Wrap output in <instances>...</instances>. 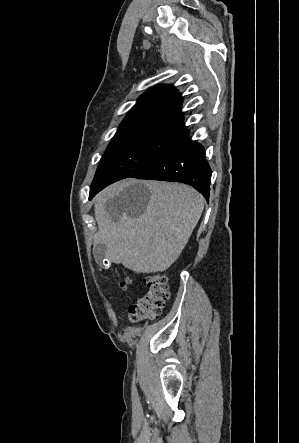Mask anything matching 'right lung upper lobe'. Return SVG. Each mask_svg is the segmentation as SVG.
<instances>
[{
    "instance_id": "obj_1",
    "label": "right lung upper lobe",
    "mask_w": 299,
    "mask_h": 443,
    "mask_svg": "<svg viewBox=\"0 0 299 443\" xmlns=\"http://www.w3.org/2000/svg\"><path fill=\"white\" fill-rule=\"evenodd\" d=\"M181 106V96L173 86H156L140 97L118 131L129 129L144 121L183 123Z\"/></svg>"
}]
</instances>
